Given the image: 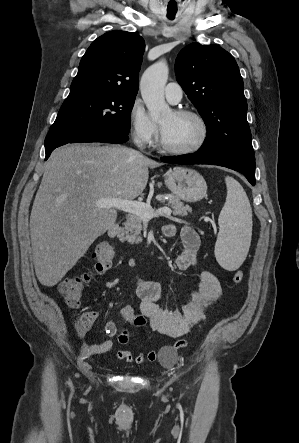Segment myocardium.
Segmentation results:
<instances>
[{
    "mask_svg": "<svg viewBox=\"0 0 299 443\" xmlns=\"http://www.w3.org/2000/svg\"><path fill=\"white\" fill-rule=\"evenodd\" d=\"M176 116L180 117H190L193 118L199 125L200 128V136L198 140L189 147L186 148H173L167 146L163 140H162V134H160L158 141H157V147L160 151L170 154V155H176V156H184V155H190L194 154L198 151H200L206 144L209 136V129L208 125L205 121V119L197 112L193 110L188 109H179L175 110L173 112Z\"/></svg>",
    "mask_w": 299,
    "mask_h": 443,
    "instance_id": "obj_1",
    "label": "myocardium"
}]
</instances>
